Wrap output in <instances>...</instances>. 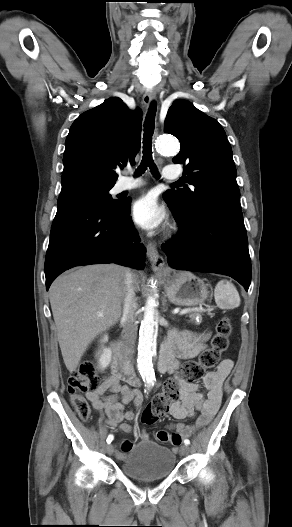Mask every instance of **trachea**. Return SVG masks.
Wrapping results in <instances>:
<instances>
[{
  "label": "trachea",
  "mask_w": 292,
  "mask_h": 527,
  "mask_svg": "<svg viewBox=\"0 0 292 527\" xmlns=\"http://www.w3.org/2000/svg\"><path fill=\"white\" fill-rule=\"evenodd\" d=\"M155 115L156 104L153 102L149 108L145 119L143 134V158L140 166L138 167L135 173L136 176L142 175L146 171L147 167L150 168V171L155 177L159 176L157 167L152 159V136L154 133Z\"/></svg>",
  "instance_id": "obj_1"
}]
</instances>
